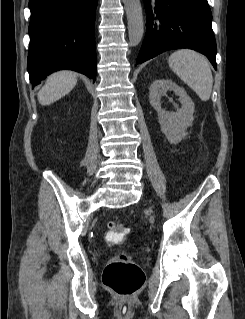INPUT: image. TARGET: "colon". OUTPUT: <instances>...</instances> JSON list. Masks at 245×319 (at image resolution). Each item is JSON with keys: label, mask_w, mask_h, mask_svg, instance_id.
<instances>
[{"label": "colon", "mask_w": 245, "mask_h": 319, "mask_svg": "<svg viewBox=\"0 0 245 319\" xmlns=\"http://www.w3.org/2000/svg\"><path fill=\"white\" fill-rule=\"evenodd\" d=\"M129 228L118 222H110L105 238L111 244L124 241ZM145 281L143 270L126 254H118L107 263L102 277L105 287L125 302H129L142 288Z\"/></svg>", "instance_id": "obj_1"}]
</instances>
